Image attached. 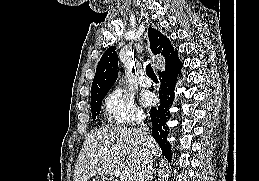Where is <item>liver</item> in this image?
I'll return each instance as SVG.
<instances>
[{"mask_svg":"<svg viewBox=\"0 0 259 181\" xmlns=\"http://www.w3.org/2000/svg\"><path fill=\"white\" fill-rule=\"evenodd\" d=\"M146 147L154 157L160 155L155 140L144 135L140 129L104 127L86 137L78 155L73 181H88L95 175L110 179L124 168L129 172V181H135L143 162ZM125 156H128L123 164Z\"/></svg>","mask_w":259,"mask_h":181,"instance_id":"liver-1","label":"liver"}]
</instances>
